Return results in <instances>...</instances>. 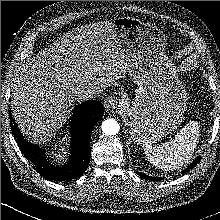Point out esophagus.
I'll return each instance as SVG.
<instances>
[{
    "label": "esophagus",
    "mask_w": 220,
    "mask_h": 220,
    "mask_svg": "<svg viewBox=\"0 0 220 220\" xmlns=\"http://www.w3.org/2000/svg\"><path fill=\"white\" fill-rule=\"evenodd\" d=\"M118 104V98L115 96H110L105 99L103 106L107 112H113Z\"/></svg>",
    "instance_id": "esophagus-1"
}]
</instances>
